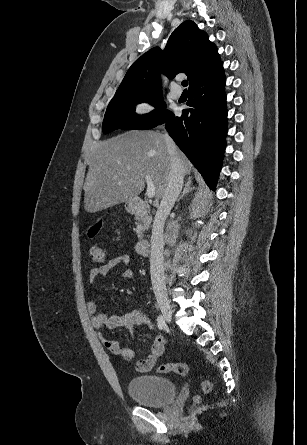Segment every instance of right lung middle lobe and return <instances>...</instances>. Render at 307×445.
<instances>
[{
    "label": "right lung middle lobe",
    "instance_id": "1",
    "mask_svg": "<svg viewBox=\"0 0 307 445\" xmlns=\"http://www.w3.org/2000/svg\"><path fill=\"white\" fill-rule=\"evenodd\" d=\"M141 102H148L156 107L151 113L139 116L135 113V106ZM171 112L165 108L162 93L124 97L111 100L102 125L104 134L116 129H150L156 127Z\"/></svg>",
    "mask_w": 307,
    "mask_h": 445
}]
</instances>
